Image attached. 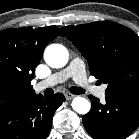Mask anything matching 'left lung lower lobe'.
I'll list each match as a JSON object with an SVG mask.
<instances>
[{
  "instance_id": "left-lung-lower-lobe-1",
  "label": "left lung lower lobe",
  "mask_w": 139,
  "mask_h": 139,
  "mask_svg": "<svg viewBox=\"0 0 139 139\" xmlns=\"http://www.w3.org/2000/svg\"><path fill=\"white\" fill-rule=\"evenodd\" d=\"M92 108L83 116V124L94 139H125L139 126V88L113 96L105 103L90 95Z\"/></svg>"
}]
</instances>
